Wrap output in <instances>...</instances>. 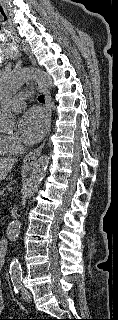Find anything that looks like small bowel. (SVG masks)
<instances>
[{
    "label": "small bowel",
    "instance_id": "c3829d8e",
    "mask_svg": "<svg viewBox=\"0 0 118 320\" xmlns=\"http://www.w3.org/2000/svg\"><path fill=\"white\" fill-rule=\"evenodd\" d=\"M1 268V266H0ZM4 309V299H3V292H2V289H1V279H0V315L2 313Z\"/></svg>",
    "mask_w": 118,
    "mask_h": 320
}]
</instances>
